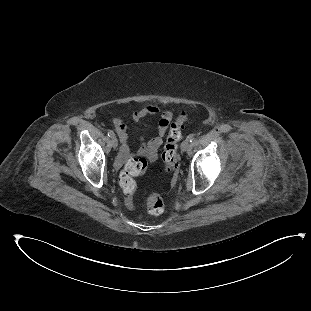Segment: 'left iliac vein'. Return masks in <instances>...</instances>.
<instances>
[{
  "label": "left iliac vein",
  "instance_id": "left-iliac-vein-1",
  "mask_svg": "<svg viewBox=\"0 0 311 311\" xmlns=\"http://www.w3.org/2000/svg\"><path fill=\"white\" fill-rule=\"evenodd\" d=\"M190 147V143L188 140H184L181 144V150L182 152H186Z\"/></svg>",
  "mask_w": 311,
  "mask_h": 311
}]
</instances>
